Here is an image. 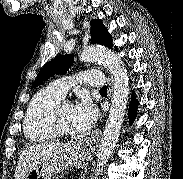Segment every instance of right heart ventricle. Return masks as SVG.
<instances>
[{
  "instance_id": "e07e8e85",
  "label": "right heart ventricle",
  "mask_w": 183,
  "mask_h": 179,
  "mask_svg": "<svg viewBox=\"0 0 183 179\" xmlns=\"http://www.w3.org/2000/svg\"><path fill=\"white\" fill-rule=\"evenodd\" d=\"M61 98L50 87L39 90L33 96L24 121V133L30 140L44 142L55 136L49 126V115L54 104Z\"/></svg>"
}]
</instances>
